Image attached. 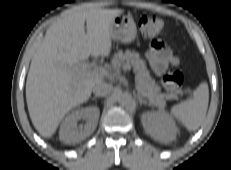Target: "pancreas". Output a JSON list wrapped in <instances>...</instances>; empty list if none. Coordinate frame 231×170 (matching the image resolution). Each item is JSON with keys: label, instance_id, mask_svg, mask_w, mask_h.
Returning <instances> with one entry per match:
<instances>
[{"label": "pancreas", "instance_id": "obj_1", "mask_svg": "<svg viewBox=\"0 0 231 170\" xmlns=\"http://www.w3.org/2000/svg\"><path fill=\"white\" fill-rule=\"evenodd\" d=\"M111 64L115 72L123 68L124 65L132 66L136 75L135 80L141 89L148 94L150 101L160 108L165 107L166 96L159 93L160 87L150 77L145 61L140 58L137 52L131 50L118 51L114 54Z\"/></svg>", "mask_w": 231, "mask_h": 170}]
</instances>
